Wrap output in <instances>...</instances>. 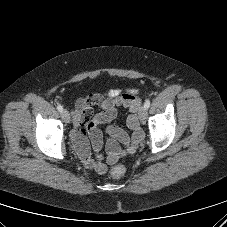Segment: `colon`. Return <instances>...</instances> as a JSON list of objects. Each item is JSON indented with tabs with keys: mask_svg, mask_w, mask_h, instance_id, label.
I'll use <instances>...</instances> for the list:
<instances>
[{
	"mask_svg": "<svg viewBox=\"0 0 227 227\" xmlns=\"http://www.w3.org/2000/svg\"><path fill=\"white\" fill-rule=\"evenodd\" d=\"M126 172V167L124 164H117L115 166L112 167V169L110 170V175L113 178H121Z\"/></svg>",
	"mask_w": 227,
	"mask_h": 227,
	"instance_id": "1",
	"label": "colon"
}]
</instances>
